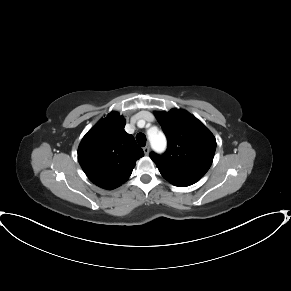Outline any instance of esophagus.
Instances as JSON below:
<instances>
[{
  "instance_id": "obj_1",
  "label": "esophagus",
  "mask_w": 291,
  "mask_h": 291,
  "mask_svg": "<svg viewBox=\"0 0 291 291\" xmlns=\"http://www.w3.org/2000/svg\"><path fill=\"white\" fill-rule=\"evenodd\" d=\"M143 151H144L145 155H148V154H149V151H150L149 146H148V145L145 146V147L143 148Z\"/></svg>"
}]
</instances>
